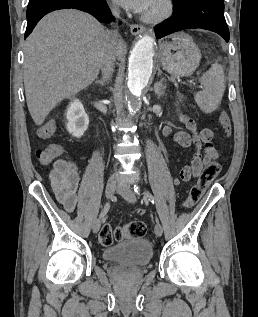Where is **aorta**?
Wrapping results in <instances>:
<instances>
[{"label": "aorta", "instance_id": "1", "mask_svg": "<svg viewBox=\"0 0 258 317\" xmlns=\"http://www.w3.org/2000/svg\"><path fill=\"white\" fill-rule=\"evenodd\" d=\"M154 43V38L145 35L131 51L127 86L131 94L128 97V107L133 113L141 108L140 96L152 74Z\"/></svg>", "mask_w": 258, "mask_h": 317}]
</instances>
